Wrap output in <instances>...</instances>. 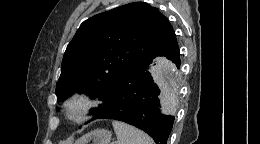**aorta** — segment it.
Instances as JSON below:
<instances>
[{
	"instance_id": "obj_1",
	"label": "aorta",
	"mask_w": 260,
	"mask_h": 144,
	"mask_svg": "<svg viewBox=\"0 0 260 144\" xmlns=\"http://www.w3.org/2000/svg\"><path fill=\"white\" fill-rule=\"evenodd\" d=\"M174 72L173 67L170 64H163L161 65V75L163 79H168L172 76Z\"/></svg>"
}]
</instances>
